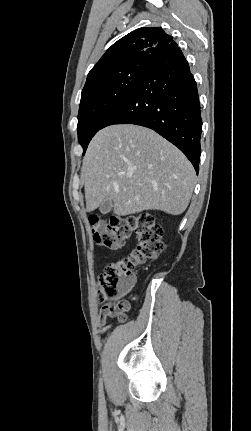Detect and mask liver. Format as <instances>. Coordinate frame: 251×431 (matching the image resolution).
<instances>
[{
    "mask_svg": "<svg viewBox=\"0 0 251 431\" xmlns=\"http://www.w3.org/2000/svg\"><path fill=\"white\" fill-rule=\"evenodd\" d=\"M86 210L92 212L109 198L114 214L144 210L183 213L195 186L190 161L151 129L125 124L100 130L83 159Z\"/></svg>",
    "mask_w": 251,
    "mask_h": 431,
    "instance_id": "obj_1",
    "label": "liver"
}]
</instances>
